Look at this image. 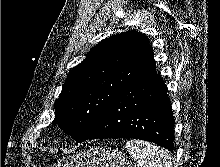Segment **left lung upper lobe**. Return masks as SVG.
I'll use <instances>...</instances> for the list:
<instances>
[{
    "instance_id": "1",
    "label": "left lung upper lobe",
    "mask_w": 220,
    "mask_h": 167,
    "mask_svg": "<svg viewBox=\"0 0 220 167\" xmlns=\"http://www.w3.org/2000/svg\"><path fill=\"white\" fill-rule=\"evenodd\" d=\"M155 69L146 36L127 31L102 40L72 68L55 101L53 124L76 141L90 136L114 97Z\"/></svg>"
}]
</instances>
